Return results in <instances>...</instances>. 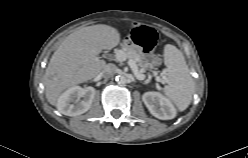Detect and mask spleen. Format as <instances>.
<instances>
[{
	"label": "spleen",
	"mask_w": 248,
	"mask_h": 158,
	"mask_svg": "<svg viewBox=\"0 0 248 158\" xmlns=\"http://www.w3.org/2000/svg\"><path fill=\"white\" fill-rule=\"evenodd\" d=\"M164 63L167 85L163 92L179 111H184L192 101L195 87L184 55L175 46L167 44L164 48Z\"/></svg>",
	"instance_id": "1"
}]
</instances>
